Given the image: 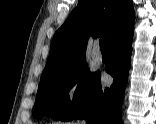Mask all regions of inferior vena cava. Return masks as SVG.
<instances>
[{
    "mask_svg": "<svg viewBox=\"0 0 156 124\" xmlns=\"http://www.w3.org/2000/svg\"><path fill=\"white\" fill-rule=\"evenodd\" d=\"M81 124H86V122L83 120V121L81 122Z\"/></svg>",
    "mask_w": 156,
    "mask_h": 124,
    "instance_id": "inferior-vena-cava-1",
    "label": "inferior vena cava"
}]
</instances>
